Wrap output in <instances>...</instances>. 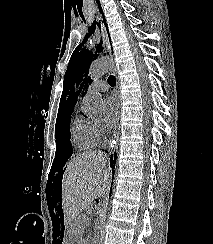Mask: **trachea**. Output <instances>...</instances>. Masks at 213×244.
I'll use <instances>...</instances> for the list:
<instances>
[{
	"label": "trachea",
	"mask_w": 213,
	"mask_h": 244,
	"mask_svg": "<svg viewBox=\"0 0 213 244\" xmlns=\"http://www.w3.org/2000/svg\"><path fill=\"white\" fill-rule=\"evenodd\" d=\"M108 83H109L110 86H115L116 85L115 76H113V75L109 76Z\"/></svg>",
	"instance_id": "3493384b"
}]
</instances>
